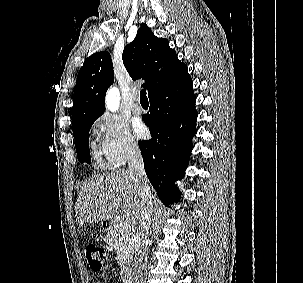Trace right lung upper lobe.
<instances>
[{
	"instance_id": "obj_1",
	"label": "right lung upper lobe",
	"mask_w": 303,
	"mask_h": 283,
	"mask_svg": "<svg viewBox=\"0 0 303 283\" xmlns=\"http://www.w3.org/2000/svg\"><path fill=\"white\" fill-rule=\"evenodd\" d=\"M122 59L133 80H145L149 98L188 73L168 40L156 37L146 24H141L133 42L124 48ZM113 81L108 52H97L85 61L74 90L72 129L103 114L105 94Z\"/></svg>"
}]
</instances>
